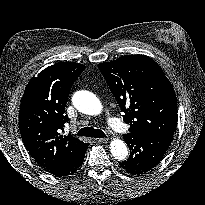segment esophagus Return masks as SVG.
I'll return each mask as SVG.
<instances>
[{
	"label": "esophagus",
	"mask_w": 205,
	"mask_h": 205,
	"mask_svg": "<svg viewBox=\"0 0 205 205\" xmlns=\"http://www.w3.org/2000/svg\"><path fill=\"white\" fill-rule=\"evenodd\" d=\"M98 143H106L108 141L107 138H98V139H95Z\"/></svg>",
	"instance_id": "1"
}]
</instances>
